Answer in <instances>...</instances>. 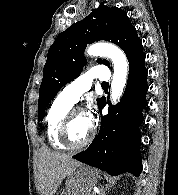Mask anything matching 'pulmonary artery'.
Returning a JSON list of instances; mask_svg holds the SVG:
<instances>
[{
    "instance_id": "e3ab8cb5",
    "label": "pulmonary artery",
    "mask_w": 178,
    "mask_h": 195,
    "mask_svg": "<svg viewBox=\"0 0 178 195\" xmlns=\"http://www.w3.org/2000/svg\"><path fill=\"white\" fill-rule=\"evenodd\" d=\"M95 79L102 83H107L109 80L108 67L104 65L94 66L92 69L67 84L60 94L64 99L75 104L80 97L91 88L92 82Z\"/></svg>"
}]
</instances>
